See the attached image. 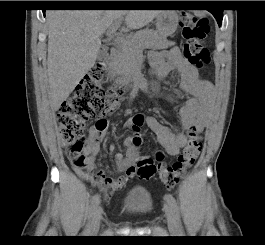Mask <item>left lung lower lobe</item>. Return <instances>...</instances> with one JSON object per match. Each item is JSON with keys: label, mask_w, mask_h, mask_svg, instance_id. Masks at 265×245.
<instances>
[{"label": "left lung lower lobe", "mask_w": 265, "mask_h": 245, "mask_svg": "<svg viewBox=\"0 0 265 245\" xmlns=\"http://www.w3.org/2000/svg\"><path fill=\"white\" fill-rule=\"evenodd\" d=\"M208 11H210L213 14V16L217 20L219 26H221L222 18H223V13H222L223 10L222 9H210Z\"/></svg>", "instance_id": "obj_1"}]
</instances>
